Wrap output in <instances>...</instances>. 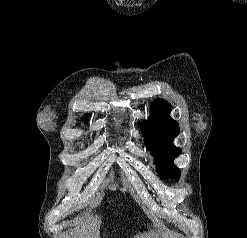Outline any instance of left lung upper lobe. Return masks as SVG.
<instances>
[{
	"instance_id": "5c2ea615",
	"label": "left lung upper lobe",
	"mask_w": 247,
	"mask_h": 238,
	"mask_svg": "<svg viewBox=\"0 0 247 238\" xmlns=\"http://www.w3.org/2000/svg\"><path fill=\"white\" fill-rule=\"evenodd\" d=\"M171 105L162 99L152 103L151 116L144 120L141 130L146 138V148L154 156V164L160 178L179 179L181 171L173 164V160L181 153V149L173 145L179 134L178 123L171 119Z\"/></svg>"
}]
</instances>
